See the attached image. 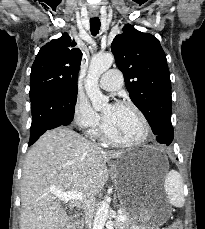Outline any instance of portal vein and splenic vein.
I'll return each mask as SVG.
<instances>
[{"mask_svg": "<svg viewBox=\"0 0 205 229\" xmlns=\"http://www.w3.org/2000/svg\"><path fill=\"white\" fill-rule=\"evenodd\" d=\"M52 193L60 198L61 200L68 202L70 200H82L83 194L81 192L78 191H69V192H62V191H58V190H53ZM126 218L124 216H119L117 218V220H125Z\"/></svg>", "mask_w": 205, "mask_h": 229, "instance_id": "18ae733b", "label": "portal vein and splenic vein"}]
</instances>
